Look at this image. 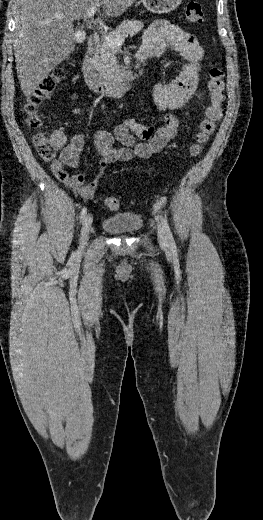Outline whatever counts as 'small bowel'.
Segmentation results:
<instances>
[{"label": "small bowel", "instance_id": "obj_1", "mask_svg": "<svg viewBox=\"0 0 263 520\" xmlns=\"http://www.w3.org/2000/svg\"><path fill=\"white\" fill-rule=\"evenodd\" d=\"M181 54L186 60L180 74L168 83L158 82L153 87V99L156 107L164 112L159 126L147 125L126 119L111 134L99 130L94 136V146L99 154L100 173L95 179L87 181L82 173H69L80 165V153L85 145V135L75 134L69 141L62 131H54L51 135L59 150V157L51 162L50 168L55 177L76 195L90 200L105 168L117 161H130L134 158H149L163 149L173 140L179 128L178 118L169 111L184 108L199 84V72L204 50L196 36L185 29L172 25L165 20L153 22L143 35V44L138 52L149 57L159 56L166 50ZM143 142H137L135 136ZM121 142L123 148H114V140Z\"/></svg>", "mask_w": 263, "mask_h": 520}]
</instances>
